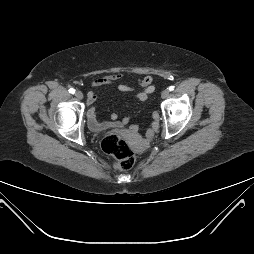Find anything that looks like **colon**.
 Instances as JSON below:
<instances>
[{
  "label": "colon",
  "mask_w": 254,
  "mask_h": 254,
  "mask_svg": "<svg viewBox=\"0 0 254 254\" xmlns=\"http://www.w3.org/2000/svg\"><path fill=\"white\" fill-rule=\"evenodd\" d=\"M103 150L114 158V167L129 170L135 162V153L121 134L111 133L102 142Z\"/></svg>",
  "instance_id": "colon-1"
}]
</instances>
